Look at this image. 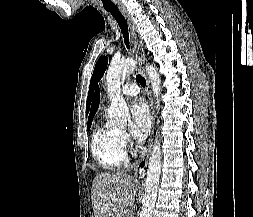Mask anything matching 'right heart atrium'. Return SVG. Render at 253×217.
<instances>
[{"label": "right heart atrium", "mask_w": 253, "mask_h": 217, "mask_svg": "<svg viewBox=\"0 0 253 217\" xmlns=\"http://www.w3.org/2000/svg\"><path fill=\"white\" fill-rule=\"evenodd\" d=\"M119 136L123 146H127L130 144L129 136L126 133L121 132Z\"/></svg>", "instance_id": "d8ad5b80"}]
</instances>
